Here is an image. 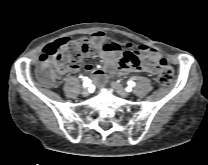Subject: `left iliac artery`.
<instances>
[{
    "instance_id": "obj_1",
    "label": "left iliac artery",
    "mask_w": 208,
    "mask_h": 165,
    "mask_svg": "<svg viewBox=\"0 0 208 165\" xmlns=\"http://www.w3.org/2000/svg\"><path fill=\"white\" fill-rule=\"evenodd\" d=\"M128 85H129L130 87H134V86H135V82L129 81V82H128ZM127 90L129 91V89H127Z\"/></svg>"
}]
</instances>
